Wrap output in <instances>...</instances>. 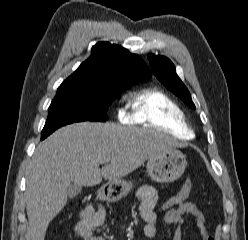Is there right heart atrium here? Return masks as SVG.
Segmentation results:
<instances>
[{"mask_svg": "<svg viewBox=\"0 0 248 240\" xmlns=\"http://www.w3.org/2000/svg\"><path fill=\"white\" fill-rule=\"evenodd\" d=\"M120 116L122 117V118H125V113H120Z\"/></svg>", "mask_w": 248, "mask_h": 240, "instance_id": "d8ad5b80", "label": "right heart atrium"}]
</instances>
